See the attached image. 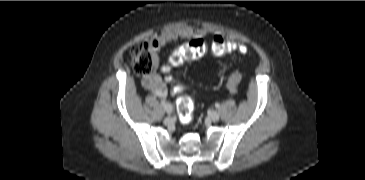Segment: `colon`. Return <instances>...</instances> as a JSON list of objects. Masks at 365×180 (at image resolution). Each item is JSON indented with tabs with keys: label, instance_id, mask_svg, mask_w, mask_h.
<instances>
[{
	"label": "colon",
	"instance_id": "1",
	"mask_svg": "<svg viewBox=\"0 0 365 180\" xmlns=\"http://www.w3.org/2000/svg\"><path fill=\"white\" fill-rule=\"evenodd\" d=\"M215 56H223L232 51H239L241 54L247 53V48L230 41L229 39L217 36L211 46ZM206 52V43L202 38L192 39L178 48L171 56L172 63L196 60ZM129 60L135 72L143 77L150 76L157 67V53L145 42L135 43L130 47ZM240 74H234L229 80L230 90H235L239 81ZM175 91L179 94L177 101V111L180 120L189 124L193 121L194 104L190 97L183 95L184 87L178 85Z\"/></svg>",
	"mask_w": 365,
	"mask_h": 180
}]
</instances>
